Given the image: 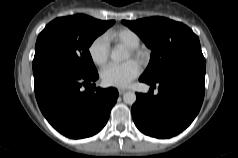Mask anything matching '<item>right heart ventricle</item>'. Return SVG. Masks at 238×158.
Instances as JSON below:
<instances>
[{"mask_svg": "<svg viewBox=\"0 0 238 158\" xmlns=\"http://www.w3.org/2000/svg\"><path fill=\"white\" fill-rule=\"evenodd\" d=\"M107 38L128 48H135L140 44L139 35L130 28H120L112 31L107 34Z\"/></svg>", "mask_w": 238, "mask_h": 158, "instance_id": "right-heart-ventricle-1", "label": "right heart ventricle"}]
</instances>
